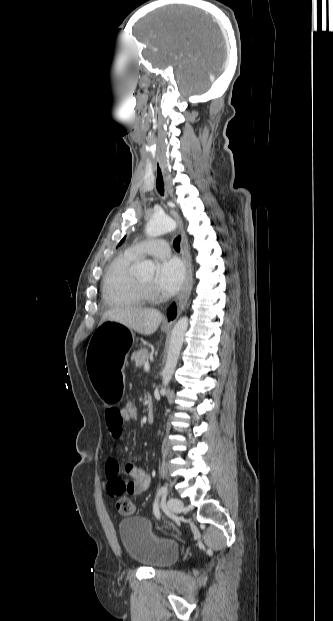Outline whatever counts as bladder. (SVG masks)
<instances>
[{
	"label": "bladder",
	"mask_w": 333,
	"mask_h": 621,
	"mask_svg": "<svg viewBox=\"0 0 333 621\" xmlns=\"http://www.w3.org/2000/svg\"><path fill=\"white\" fill-rule=\"evenodd\" d=\"M118 530L124 551L137 563L154 569L165 568L179 555L177 543L159 537L146 518L127 517L119 522Z\"/></svg>",
	"instance_id": "bladder-1"
}]
</instances>
